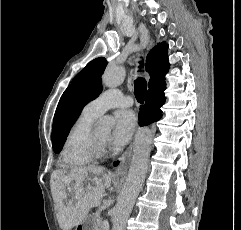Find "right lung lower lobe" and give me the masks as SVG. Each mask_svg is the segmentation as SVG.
I'll return each instance as SVG.
<instances>
[{
  "instance_id": "right-lung-lower-lobe-1",
  "label": "right lung lower lobe",
  "mask_w": 241,
  "mask_h": 230,
  "mask_svg": "<svg viewBox=\"0 0 241 230\" xmlns=\"http://www.w3.org/2000/svg\"><path fill=\"white\" fill-rule=\"evenodd\" d=\"M164 79L149 86L145 105L143 108H140L138 114L141 126L158 121L162 116L160 107L165 103L164 90L166 83Z\"/></svg>"
}]
</instances>
